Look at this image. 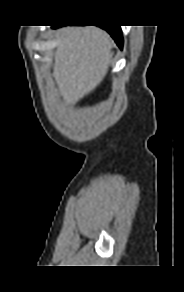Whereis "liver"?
<instances>
[{
	"mask_svg": "<svg viewBox=\"0 0 184 292\" xmlns=\"http://www.w3.org/2000/svg\"><path fill=\"white\" fill-rule=\"evenodd\" d=\"M58 36L53 74L66 104H75L102 82L113 56V41L92 26L61 28Z\"/></svg>",
	"mask_w": 184,
	"mask_h": 292,
	"instance_id": "liver-1",
	"label": "liver"
}]
</instances>
